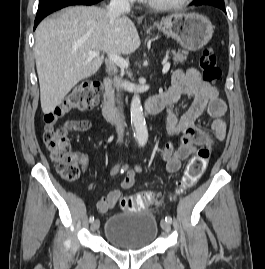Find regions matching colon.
Masks as SVG:
<instances>
[{
    "label": "colon",
    "mask_w": 265,
    "mask_h": 269,
    "mask_svg": "<svg viewBox=\"0 0 265 269\" xmlns=\"http://www.w3.org/2000/svg\"><path fill=\"white\" fill-rule=\"evenodd\" d=\"M200 69L203 79L208 83H216L221 77V69L211 48H206L200 58ZM101 87L99 82L90 81L73 89L63 101L45 116L46 128L43 140L50 153L52 162L57 166L62 179L73 182L80 176L77 156L72 151L67 136V128L55 127L62 116L71 111H85L98 105ZM210 156L208 146L201 147L189 160L178 184V190L184 192L191 189L204 173ZM157 192H141L125 196L121 201L123 209L140 211L158 202Z\"/></svg>",
    "instance_id": "5ec220e1"
}]
</instances>
